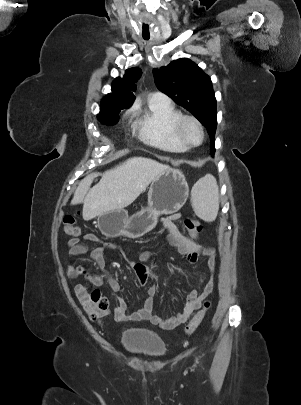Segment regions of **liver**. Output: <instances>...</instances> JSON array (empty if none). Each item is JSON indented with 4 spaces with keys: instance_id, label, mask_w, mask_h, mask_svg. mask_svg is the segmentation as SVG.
I'll return each instance as SVG.
<instances>
[{
    "instance_id": "obj_1",
    "label": "liver",
    "mask_w": 301,
    "mask_h": 405,
    "mask_svg": "<svg viewBox=\"0 0 301 405\" xmlns=\"http://www.w3.org/2000/svg\"><path fill=\"white\" fill-rule=\"evenodd\" d=\"M168 166L144 157H133L107 170L90 188L96 174L85 177L75 190L71 203H83V218L93 219L104 213L122 210L132 204L148 185Z\"/></svg>"
}]
</instances>
